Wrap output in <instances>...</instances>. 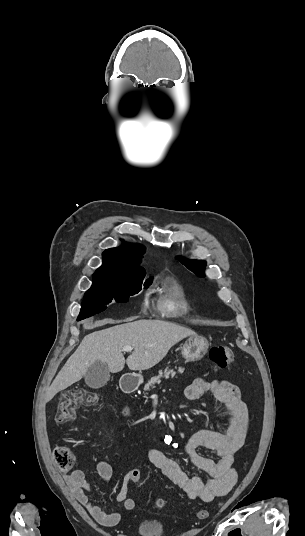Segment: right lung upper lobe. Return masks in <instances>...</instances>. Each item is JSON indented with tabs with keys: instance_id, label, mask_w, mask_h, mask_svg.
Instances as JSON below:
<instances>
[{
	"instance_id": "cb5924a9",
	"label": "right lung upper lobe",
	"mask_w": 305,
	"mask_h": 536,
	"mask_svg": "<svg viewBox=\"0 0 305 536\" xmlns=\"http://www.w3.org/2000/svg\"><path fill=\"white\" fill-rule=\"evenodd\" d=\"M145 247L126 243L103 252V264L93 274V280L144 279L146 272L140 266Z\"/></svg>"
}]
</instances>
